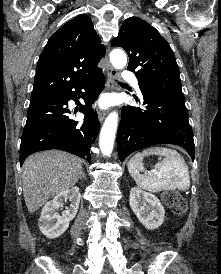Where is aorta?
<instances>
[{
  "label": "aorta",
  "mask_w": 221,
  "mask_h": 274,
  "mask_svg": "<svg viewBox=\"0 0 221 274\" xmlns=\"http://www.w3.org/2000/svg\"><path fill=\"white\" fill-rule=\"evenodd\" d=\"M110 61L114 68L123 69L127 63V56L123 50L114 49L110 53ZM117 124L118 113L111 112L103 123L99 138L100 150L104 155L109 156L113 151Z\"/></svg>",
  "instance_id": "aorta-1"
}]
</instances>
